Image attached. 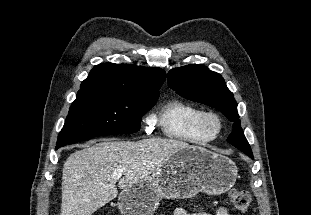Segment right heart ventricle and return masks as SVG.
Masks as SVG:
<instances>
[{"instance_id":"1","label":"right heart ventricle","mask_w":311,"mask_h":215,"mask_svg":"<svg viewBox=\"0 0 311 215\" xmlns=\"http://www.w3.org/2000/svg\"><path fill=\"white\" fill-rule=\"evenodd\" d=\"M204 112L193 104L174 99L165 103L153 118L165 136L186 143L205 144L213 137L200 128Z\"/></svg>"}]
</instances>
